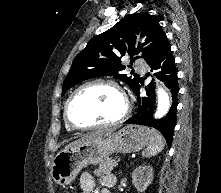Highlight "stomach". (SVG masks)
<instances>
[{
	"label": "stomach",
	"instance_id": "obj_1",
	"mask_svg": "<svg viewBox=\"0 0 221 193\" xmlns=\"http://www.w3.org/2000/svg\"><path fill=\"white\" fill-rule=\"evenodd\" d=\"M150 136L147 127L127 125L106 136L85 141L54 157L51 176L56 184L68 185L88 165L100 164L113 153H134L143 149L150 143Z\"/></svg>",
	"mask_w": 221,
	"mask_h": 193
}]
</instances>
